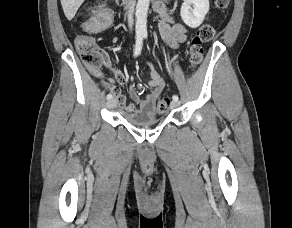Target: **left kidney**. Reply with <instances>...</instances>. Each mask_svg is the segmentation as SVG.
Here are the masks:
<instances>
[{"label": "left kidney", "instance_id": "5707ae66", "mask_svg": "<svg viewBox=\"0 0 292 228\" xmlns=\"http://www.w3.org/2000/svg\"><path fill=\"white\" fill-rule=\"evenodd\" d=\"M209 11V0H184L180 15L184 23L191 27H199Z\"/></svg>", "mask_w": 292, "mask_h": 228}]
</instances>
